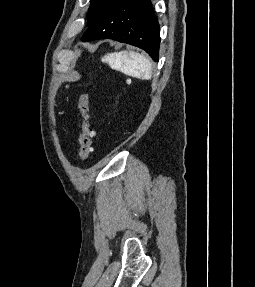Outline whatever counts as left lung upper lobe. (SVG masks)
Masks as SVG:
<instances>
[{"label": "left lung upper lobe", "instance_id": "1", "mask_svg": "<svg viewBox=\"0 0 255 287\" xmlns=\"http://www.w3.org/2000/svg\"><path fill=\"white\" fill-rule=\"evenodd\" d=\"M113 2L114 0H91L87 25L96 20Z\"/></svg>", "mask_w": 255, "mask_h": 287}]
</instances>
